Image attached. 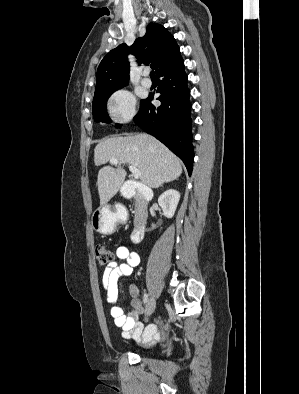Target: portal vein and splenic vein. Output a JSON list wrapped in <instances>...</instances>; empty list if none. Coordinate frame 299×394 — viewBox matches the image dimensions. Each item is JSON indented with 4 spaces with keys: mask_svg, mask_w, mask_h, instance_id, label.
<instances>
[{
    "mask_svg": "<svg viewBox=\"0 0 299 394\" xmlns=\"http://www.w3.org/2000/svg\"><path fill=\"white\" fill-rule=\"evenodd\" d=\"M110 163H111V164H118V163H119V160L116 159V158H111V159H110ZM128 168H129V170L131 171V173H132V175H133V177H134L135 179H139V178H140L141 173H140V170H139V169H137L135 166H132V165H129Z\"/></svg>",
    "mask_w": 299,
    "mask_h": 394,
    "instance_id": "portal-vein-and-splenic-vein-1",
    "label": "portal vein and splenic vein"
}]
</instances>
